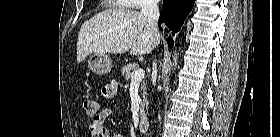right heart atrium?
Instances as JSON below:
<instances>
[{"mask_svg": "<svg viewBox=\"0 0 280 137\" xmlns=\"http://www.w3.org/2000/svg\"><path fill=\"white\" fill-rule=\"evenodd\" d=\"M137 8H146L150 4V0H132Z\"/></svg>", "mask_w": 280, "mask_h": 137, "instance_id": "1", "label": "right heart atrium"}]
</instances>
